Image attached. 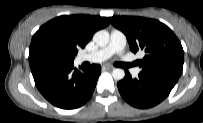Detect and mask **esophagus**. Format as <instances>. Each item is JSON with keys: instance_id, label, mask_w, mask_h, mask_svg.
I'll return each mask as SVG.
<instances>
[{"instance_id": "obj_1", "label": "esophagus", "mask_w": 203, "mask_h": 123, "mask_svg": "<svg viewBox=\"0 0 203 123\" xmlns=\"http://www.w3.org/2000/svg\"><path fill=\"white\" fill-rule=\"evenodd\" d=\"M102 69H103V70H112V69H114V67L109 66V65H104V66L102 67Z\"/></svg>"}]
</instances>
